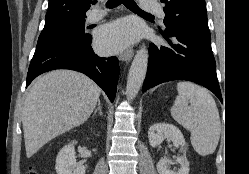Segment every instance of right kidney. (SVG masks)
<instances>
[{
	"mask_svg": "<svg viewBox=\"0 0 249 174\" xmlns=\"http://www.w3.org/2000/svg\"><path fill=\"white\" fill-rule=\"evenodd\" d=\"M72 142L64 146L57 155L55 170L57 174H85V167L76 162V152Z\"/></svg>",
	"mask_w": 249,
	"mask_h": 174,
	"instance_id": "right-kidney-1",
	"label": "right kidney"
}]
</instances>
